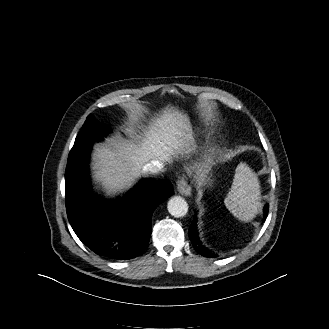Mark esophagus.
Returning <instances> with one entry per match:
<instances>
[{
  "label": "esophagus",
  "instance_id": "obj_1",
  "mask_svg": "<svg viewBox=\"0 0 329 329\" xmlns=\"http://www.w3.org/2000/svg\"><path fill=\"white\" fill-rule=\"evenodd\" d=\"M177 189L179 193L184 196L191 195V187L184 177H180L179 180L177 181Z\"/></svg>",
  "mask_w": 329,
  "mask_h": 329
}]
</instances>
